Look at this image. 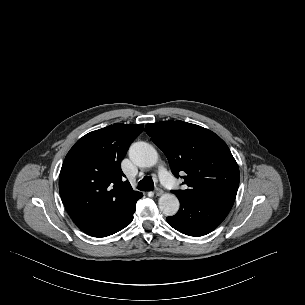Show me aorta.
<instances>
[{"label": "aorta", "mask_w": 305, "mask_h": 305, "mask_svg": "<svg viewBox=\"0 0 305 305\" xmlns=\"http://www.w3.org/2000/svg\"><path fill=\"white\" fill-rule=\"evenodd\" d=\"M129 158L139 167H152L157 163L158 155L152 145L146 142L133 143L129 149ZM160 211L173 216L179 209V201L174 194L165 193L158 201Z\"/></svg>", "instance_id": "aorta-1"}]
</instances>
